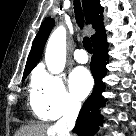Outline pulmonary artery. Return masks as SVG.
<instances>
[{
	"label": "pulmonary artery",
	"mask_w": 136,
	"mask_h": 136,
	"mask_svg": "<svg viewBox=\"0 0 136 136\" xmlns=\"http://www.w3.org/2000/svg\"><path fill=\"white\" fill-rule=\"evenodd\" d=\"M74 58L79 63H86L88 61V55L83 49H76L74 51Z\"/></svg>",
	"instance_id": "1"
}]
</instances>
